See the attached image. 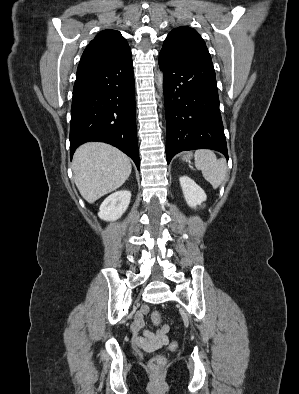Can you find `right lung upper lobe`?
I'll list each match as a JSON object with an SVG mask.
<instances>
[{"instance_id": "right-lung-upper-lobe-1", "label": "right lung upper lobe", "mask_w": 299, "mask_h": 394, "mask_svg": "<svg viewBox=\"0 0 299 394\" xmlns=\"http://www.w3.org/2000/svg\"><path fill=\"white\" fill-rule=\"evenodd\" d=\"M129 59H131V50L120 32L104 30L88 44L77 70Z\"/></svg>"}]
</instances>
